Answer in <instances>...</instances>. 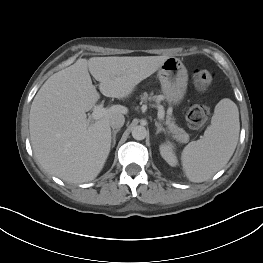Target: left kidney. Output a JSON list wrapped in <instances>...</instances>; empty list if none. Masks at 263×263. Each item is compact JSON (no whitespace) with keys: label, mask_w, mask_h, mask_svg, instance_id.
<instances>
[{"label":"left kidney","mask_w":263,"mask_h":263,"mask_svg":"<svg viewBox=\"0 0 263 263\" xmlns=\"http://www.w3.org/2000/svg\"><path fill=\"white\" fill-rule=\"evenodd\" d=\"M160 154L169 165L176 166L177 159L172 144H162L160 146Z\"/></svg>","instance_id":"left-kidney-1"}]
</instances>
